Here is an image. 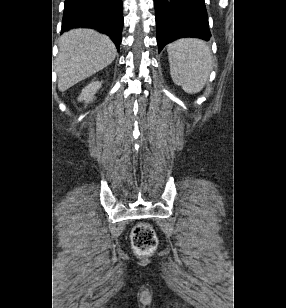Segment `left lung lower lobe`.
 <instances>
[{"mask_svg": "<svg viewBox=\"0 0 286 308\" xmlns=\"http://www.w3.org/2000/svg\"><path fill=\"white\" fill-rule=\"evenodd\" d=\"M154 3L159 52L179 38L210 39L204 0H154Z\"/></svg>", "mask_w": 286, "mask_h": 308, "instance_id": "left-lung-lower-lobe-1", "label": "left lung lower lobe"}]
</instances>
